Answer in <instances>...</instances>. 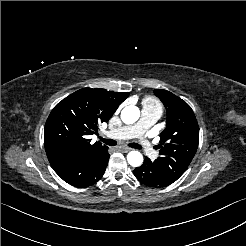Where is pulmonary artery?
<instances>
[{
	"label": "pulmonary artery",
	"mask_w": 246,
	"mask_h": 246,
	"mask_svg": "<svg viewBox=\"0 0 246 246\" xmlns=\"http://www.w3.org/2000/svg\"><path fill=\"white\" fill-rule=\"evenodd\" d=\"M160 116L161 112L157 109H143L142 118L138 124L121 127L118 130L109 132L108 135L114 138H135L143 144L144 151L151 155L154 153V149L142 138V133L147 127L154 124Z\"/></svg>",
	"instance_id": "pulmonary-artery-1"
}]
</instances>
